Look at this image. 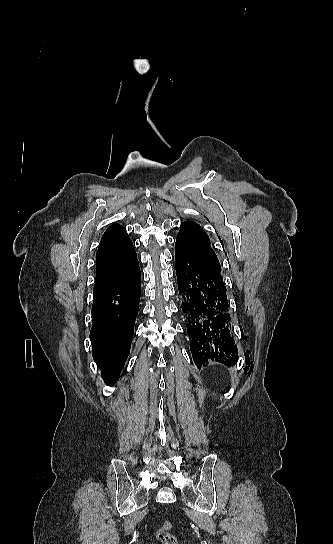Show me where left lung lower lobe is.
Masks as SVG:
<instances>
[{
  "label": "left lung lower lobe",
  "instance_id": "1",
  "mask_svg": "<svg viewBox=\"0 0 333 544\" xmlns=\"http://www.w3.org/2000/svg\"><path fill=\"white\" fill-rule=\"evenodd\" d=\"M176 275L191 352L201 368L208 361L235 364L238 349L231 333L227 289L217 268L175 249Z\"/></svg>",
  "mask_w": 333,
  "mask_h": 544
}]
</instances>
